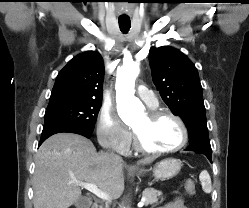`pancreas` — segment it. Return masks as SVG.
Returning <instances> with one entry per match:
<instances>
[{
    "label": "pancreas",
    "instance_id": "pancreas-1",
    "mask_svg": "<svg viewBox=\"0 0 249 208\" xmlns=\"http://www.w3.org/2000/svg\"><path fill=\"white\" fill-rule=\"evenodd\" d=\"M142 194L145 197L144 204L147 206V205H152L154 203H157L158 197L162 195V192L154 188H146Z\"/></svg>",
    "mask_w": 249,
    "mask_h": 208
}]
</instances>
